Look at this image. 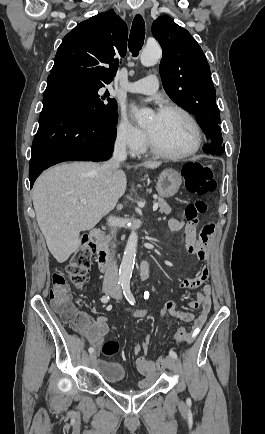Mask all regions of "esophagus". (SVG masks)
Masks as SVG:
<instances>
[{
	"label": "esophagus",
	"instance_id": "1",
	"mask_svg": "<svg viewBox=\"0 0 265 434\" xmlns=\"http://www.w3.org/2000/svg\"><path fill=\"white\" fill-rule=\"evenodd\" d=\"M144 10L142 8H136L133 10V15H143Z\"/></svg>",
	"mask_w": 265,
	"mask_h": 434
}]
</instances>
